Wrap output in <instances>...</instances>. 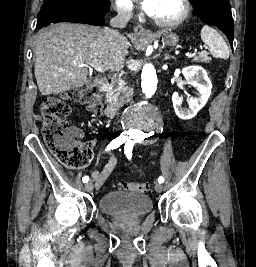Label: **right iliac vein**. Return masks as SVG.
Returning <instances> with one entry per match:
<instances>
[{
	"instance_id": "63e3f726",
	"label": "right iliac vein",
	"mask_w": 256,
	"mask_h": 267,
	"mask_svg": "<svg viewBox=\"0 0 256 267\" xmlns=\"http://www.w3.org/2000/svg\"><path fill=\"white\" fill-rule=\"evenodd\" d=\"M85 190H86L87 192H91V191H93V183H92V182H88V183H86V184H85Z\"/></svg>"
}]
</instances>
